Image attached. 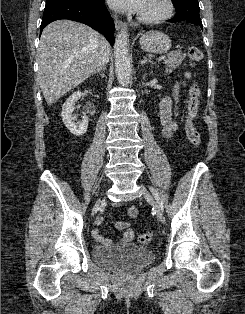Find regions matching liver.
<instances>
[{"mask_svg": "<svg viewBox=\"0 0 245 314\" xmlns=\"http://www.w3.org/2000/svg\"><path fill=\"white\" fill-rule=\"evenodd\" d=\"M105 44L102 35L82 23L57 20L44 28L37 51V79L48 105L95 72Z\"/></svg>", "mask_w": 245, "mask_h": 314, "instance_id": "1", "label": "liver"}]
</instances>
